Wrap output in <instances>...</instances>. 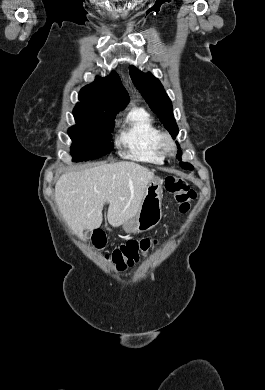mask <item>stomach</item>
I'll list each match as a JSON object with an SVG mask.
<instances>
[{
    "mask_svg": "<svg viewBox=\"0 0 265 390\" xmlns=\"http://www.w3.org/2000/svg\"><path fill=\"white\" fill-rule=\"evenodd\" d=\"M162 193V180L153 178L145 190L138 213L122 224L126 233L145 232L160 222Z\"/></svg>",
    "mask_w": 265,
    "mask_h": 390,
    "instance_id": "1",
    "label": "stomach"
}]
</instances>
